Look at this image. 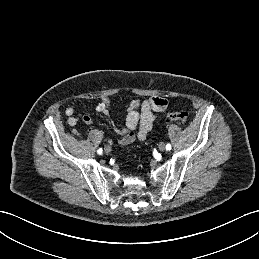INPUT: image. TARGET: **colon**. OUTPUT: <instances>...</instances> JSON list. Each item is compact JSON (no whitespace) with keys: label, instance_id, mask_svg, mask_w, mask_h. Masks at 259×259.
Listing matches in <instances>:
<instances>
[{"label":"colon","instance_id":"obj_1","mask_svg":"<svg viewBox=\"0 0 259 259\" xmlns=\"http://www.w3.org/2000/svg\"><path fill=\"white\" fill-rule=\"evenodd\" d=\"M188 114L186 112H170L166 115L167 122H176L178 124L186 123Z\"/></svg>","mask_w":259,"mask_h":259}]
</instances>
